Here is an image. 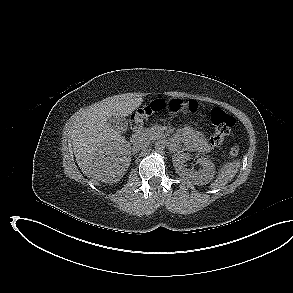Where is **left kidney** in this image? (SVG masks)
I'll list each match as a JSON object with an SVG mask.
<instances>
[{"label":"left kidney","mask_w":293,"mask_h":293,"mask_svg":"<svg viewBox=\"0 0 293 293\" xmlns=\"http://www.w3.org/2000/svg\"><path fill=\"white\" fill-rule=\"evenodd\" d=\"M190 155L183 153V154H176L173 159V166L175 167L177 173L185 177L187 180H190L194 184H207L209 183L215 174V165L214 163L207 159V158H199L197 163L201 165V169L198 171H194L191 169H187L185 167V162L190 160Z\"/></svg>","instance_id":"5707ae66"}]
</instances>
